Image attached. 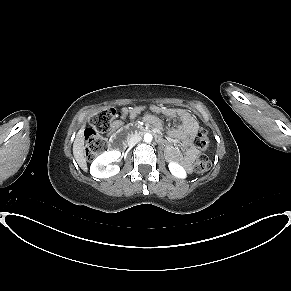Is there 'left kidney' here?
I'll return each mask as SVG.
<instances>
[{
  "instance_id": "left-kidney-1",
  "label": "left kidney",
  "mask_w": 291,
  "mask_h": 291,
  "mask_svg": "<svg viewBox=\"0 0 291 291\" xmlns=\"http://www.w3.org/2000/svg\"><path fill=\"white\" fill-rule=\"evenodd\" d=\"M168 167L171 174L174 175L175 177H178L181 179H184L187 177L185 169L180 164L176 162H170Z\"/></svg>"
}]
</instances>
